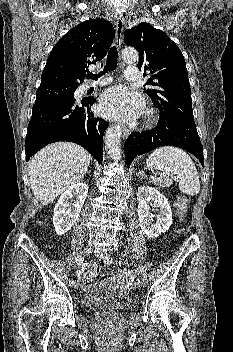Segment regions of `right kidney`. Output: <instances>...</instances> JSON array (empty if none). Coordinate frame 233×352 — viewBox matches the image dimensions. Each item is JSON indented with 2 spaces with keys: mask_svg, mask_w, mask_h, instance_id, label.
<instances>
[{
  "mask_svg": "<svg viewBox=\"0 0 233 352\" xmlns=\"http://www.w3.org/2000/svg\"><path fill=\"white\" fill-rule=\"evenodd\" d=\"M88 193V186L79 182L59 197L54 208L53 224L58 235L66 234L77 221ZM73 204H70V200Z\"/></svg>",
  "mask_w": 233,
  "mask_h": 352,
  "instance_id": "ca27d5eb",
  "label": "right kidney"
}]
</instances>
